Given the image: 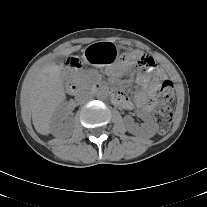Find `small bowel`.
<instances>
[{"instance_id":"small-bowel-1","label":"small bowel","mask_w":207,"mask_h":207,"mask_svg":"<svg viewBox=\"0 0 207 207\" xmlns=\"http://www.w3.org/2000/svg\"><path fill=\"white\" fill-rule=\"evenodd\" d=\"M122 70L118 68H110L108 70V75L112 78H116L121 75ZM166 75L164 71L160 68L153 73L152 77H149L145 74H139L137 77V82L140 85V90L136 94L135 105L138 108L150 111L153 108L152 98L153 95L161 81L165 79ZM116 95L114 97V101L116 104L131 109L134 104L128 99V97L120 92L116 91Z\"/></svg>"}]
</instances>
